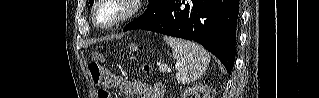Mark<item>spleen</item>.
<instances>
[{
  "mask_svg": "<svg viewBox=\"0 0 319 98\" xmlns=\"http://www.w3.org/2000/svg\"><path fill=\"white\" fill-rule=\"evenodd\" d=\"M164 41L172 48L177 60L176 79L179 83H192L205 73L210 55L204 48L194 42L168 36H164Z\"/></svg>",
  "mask_w": 319,
  "mask_h": 98,
  "instance_id": "obj_1",
  "label": "spleen"
}]
</instances>
